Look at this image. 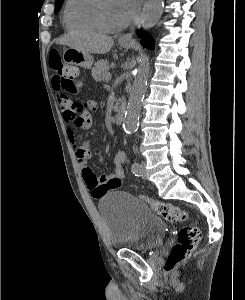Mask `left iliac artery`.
I'll use <instances>...</instances> for the list:
<instances>
[{
    "label": "left iliac artery",
    "mask_w": 245,
    "mask_h": 300,
    "mask_svg": "<svg viewBox=\"0 0 245 300\" xmlns=\"http://www.w3.org/2000/svg\"><path fill=\"white\" fill-rule=\"evenodd\" d=\"M131 169L135 176H141V166L139 163H133Z\"/></svg>",
    "instance_id": "44dca946"
}]
</instances>
